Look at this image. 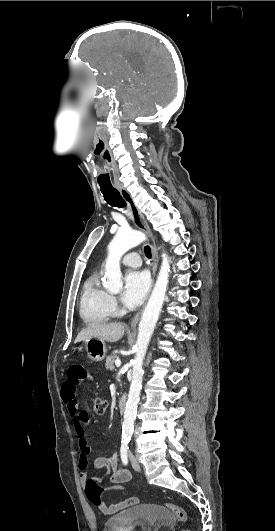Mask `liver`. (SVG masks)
I'll list each match as a JSON object with an SVG mask.
<instances>
[{"label": "liver", "mask_w": 275, "mask_h": 531, "mask_svg": "<svg viewBox=\"0 0 275 531\" xmlns=\"http://www.w3.org/2000/svg\"><path fill=\"white\" fill-rule=\"evenodd\" d=\"M125 331V325L123 323H90L87 329H82L78 333L74 343H80V341H87L92 337H97L101 341H108V343H116L119 339H122Z\"/></svg>", "instance_id": "liver-1"}]
</instances>
